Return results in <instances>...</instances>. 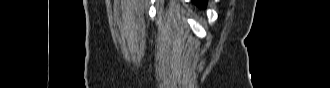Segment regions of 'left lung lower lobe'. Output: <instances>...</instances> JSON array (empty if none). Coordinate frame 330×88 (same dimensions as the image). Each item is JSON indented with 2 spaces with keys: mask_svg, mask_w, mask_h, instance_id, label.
<instances>
[{
  "mask_svg": "<svg viewBox=\"0 0 330 88\" xmlns=\"http://www.w3.org/2000/svg\"><path fill=\"white\" fill-rule=\"evenodd\" d=\"M199 7H204L206 5V0H192Z\"/></svg>",
  "mask_w": 330,
  "mask_h": 88,
  "instance_id": "0a47b994",
  "label": "left lung lower lobe"
}]
</instances>
